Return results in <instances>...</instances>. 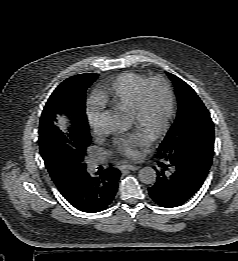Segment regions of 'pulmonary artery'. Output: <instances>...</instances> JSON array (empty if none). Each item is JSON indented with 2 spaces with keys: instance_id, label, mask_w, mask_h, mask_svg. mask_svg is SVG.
<instances>
[{
  "instance_id": "pulmonary-artery-1",
  "label": "pulmonary artery",
  "mask_w": 238,
  "mask_h": 261,
  "mask_svg": "<svg viewBox=\"0 0 238 261\" xmlns=\"http://www.w3.org/2000/svg\"><path fill=\"white\" fill-rule=\"evenodd\" d=\"M103 160H104L103 157L96 158V159L92 162V165H93V166H97V165L100 164Z\"/></svg>"
}]
</instances>
